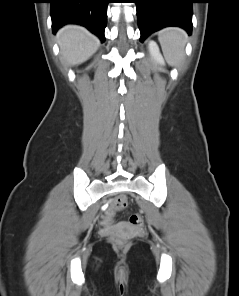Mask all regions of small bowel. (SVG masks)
Instances as JSON below:
<instances>
[{
  "instance_id": "c3829d8e",
  "label": "small bowel",
  "mask_w": 239,
  "mask_h": 296,
  "mask_svg": "<svg viewBox=\"0 0 239 296\" xmlns=\"http://www.w3.org/2000/svg\"><path fill=\"white\" fill-rule=\"evenodd\" d=\"M112 219H113V212L110 210H107L104 215V222L106 224H109L112 221Z\"/></svg>"
}]
</instances>
